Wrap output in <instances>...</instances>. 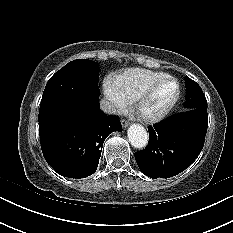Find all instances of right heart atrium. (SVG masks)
<instances>
[{
  "label": "right heart atrium",
  "instance_id": "right-heart-atrium-1",
  "mask_svg": "<svg viewBox=\"0 0 233 233\" xmlns=\"http://www.w3.org/2000/svg\"><path fill=\"white\" fill-rule=\"evenodd\" d=\"M103 90L112 113H123L128 109L130 101L118 91L112 78L108 77L104 80Z\"/></svg>",
  "mask_w": 233,
  "mask_h": 233
}]
</instances>
